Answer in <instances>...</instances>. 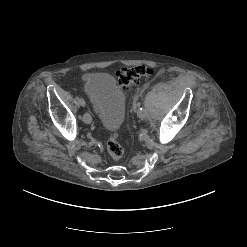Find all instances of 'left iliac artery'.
<instances>
[{
	"label": "left iliac artery",
	"mask_w": 247,
	"mask_h": 247,
	"mask_svg": "<svg viewBox=\"0 0 247 247\" xmlns=\"http://www.w3.org/2000/svg\"><path fill=\"white\" fill-rule=\"evenodd\" d=\"M138 106H139L138 113H144L145 112L144 108L140 107V104Z\"/></svg>",
	"instance_id": "left-iliac-artery-1"
}]
</instances>
